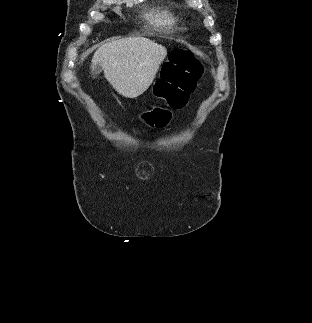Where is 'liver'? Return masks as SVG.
I'll list each match as a JSON object with an SVG mask.
<instances>
[{
	"label": "liver",
	"mask_w": 312,
	"mask_h": 323,
	"mask_svg": "<svg viewBox=\"0 0 312 323\" xmlns=\"http://www.w3.org/2000/svg\"><path fill=\"white\" fill-rule=\"evenodd\" d=\"M167 50L148 38L130 36L106 42L96 50L91 70L101 66L112 88L124 98H137L151 86Z\"/></svg>",
	"instance_id": "obj_1"
}]
</instances>
